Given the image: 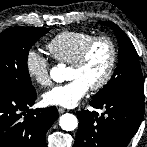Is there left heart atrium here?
I'll list each match as a JSON object with an SVG mask.
<instances>
[{
  "label": "left heart atrium",
  "mask_w": 147,
  "mask_h": 147,
  "mask_svg": "<svg viewBox=\"0 0 147 147\" xmlns=\"http://www.w3.org/2000/svg\"><path fill=\"white\" fill-rule=\"evenodd\" d=\"M89 88L83 80L73 79L45 92L43 100L47 105L72 108L87 94Z\"/></svg>",
  "instance_id": "39dd6f15"
}]
</instances>
